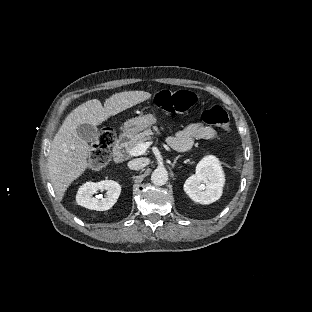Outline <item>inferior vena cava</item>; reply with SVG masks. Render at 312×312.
<instances>
[{
    "label": "inferior vena cava",
    "mask_w": 312,
    "mask_h": 312,
    "mask_svg": "<svg viewBox=\"0 0 312 312\" xmlns=\"http://www.w3.org/2000/svg\"><path fill=\"white\" fill-rule=\"evenodd\" d=\"M147 159L146 158H136L128 162V167L131 170H140L144 168L147 165Z\"/></svg>",
    "instance_id": "1"
}]
</instances>
